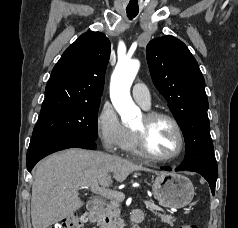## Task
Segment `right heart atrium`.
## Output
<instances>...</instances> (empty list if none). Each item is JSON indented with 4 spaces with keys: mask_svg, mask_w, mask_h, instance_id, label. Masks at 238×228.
Here are the masks:
<instances>
[{
    "mask_svg": "<svg viewBox=\"0 0 238 228\" xmlns=\"http://www.w3.org/2000/svg\"><path fill=\"white\" fill-rule=\"evenodd\" d=\"M98 137L103 147L111 152L124 149L129 138V129L121 122L114 107L106 102L96 120Z\"/></svg>",
    "mask_w": 238,
    "mask_h": 228,
    "instance_id": "d8ad5b80",
    "label": "right heart atrium"
}]
</instances>
